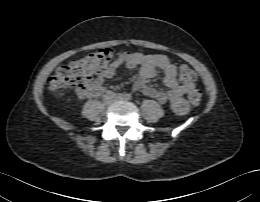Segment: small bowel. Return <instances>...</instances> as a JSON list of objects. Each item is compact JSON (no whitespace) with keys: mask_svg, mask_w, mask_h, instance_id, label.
<instances>
[{"mask_svg":"<svg viewBox=\"0 0 260 202\" xmlns=\"http://www.w3.org/2000/svg\"><path fill=\"white\" fill-rule=\"evenodd\" d=\"M121 66L128 69L139 68V78L133 86L135 91L156 99L160 104H170L179 115H185L188 112V105L183 96L192 91L195 84L193 82H179L175 65L164 54L124 53L111 66L98 73L96 78L88 80L85 88L78 90V96L87 98L99 95L103 90V79L114 78L117 69ZM157 71L162 72L163 84L167 91L158 90L146 83L147 80L156 76Z\"/></svg>","mask_w":260,"mask_h":202,"instance_id":"obj_1","label":"small bowel"}]
</instances>
